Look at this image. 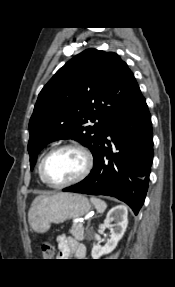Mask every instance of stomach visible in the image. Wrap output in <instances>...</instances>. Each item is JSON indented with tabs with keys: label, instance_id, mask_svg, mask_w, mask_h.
<instances>
[{
	"label": "stomach",
	"instance_id": "0dacf381",
	"mask_svg": "<svg viewBox=\"0 0 175 287\" xmlns=\"http://www.w3.org/2000/svg\"><path fill=\"white\" fill-rule=\"evenodd\" d=\"M91 210L88 198L76 193H57L45 196L32 205L28 213L31 229L45 233L52 223L60 224L84 216Z\"/></svg>",
	"mask_w": 175,
	"mask_h": 287
}]
</instances>
